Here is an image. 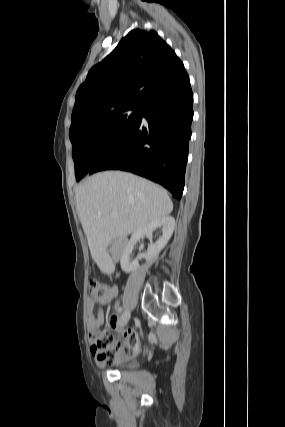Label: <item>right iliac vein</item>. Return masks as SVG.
<instances>
[{"mask_svg": "<svg viewBox=\"0 0 285 427\" xmlns=\"http://www.w3.org/2000/svg\"><path fill=\"white\" fill-rule=\"evenodd\" d=\"M129 319H130V312L125 311L120 318V326L122 327L125 326L128 323Z\"/></svg>", "mask_w": 285, "mask_h": 427, "instance_id": "63e3f726", "label": "right iliac vein"}]
</instances>
